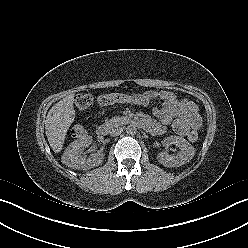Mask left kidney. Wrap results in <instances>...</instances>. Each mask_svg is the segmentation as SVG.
Segmentation results:
<instances>
[{"label":"left kidney","mask_w":248,"mask_h":248,"mask_svg":"<svg viewBox=\"0 0 248 248\" xmlns=\"http://www.w3.org/2000/svg\"><path fill=\"white\" fill-rule=\"evenodd\" d=\"M163 143L165 145L174 144L180 151L177 155H170L162 151L157 155L158 161L166 167H178L189 162L195 155V148L184 138L179 136L167 137Z\"/></svg>","instance_id":"obj_1"}]
</instances>
